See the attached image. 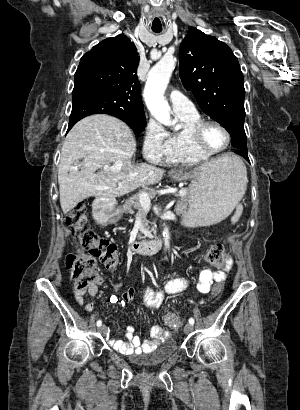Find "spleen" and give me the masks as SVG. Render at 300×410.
Returning <instances> with one entry per match:
<instances>
[{
    "instance_id": "spleen-1",
    "label": "spleen",
    "mask_w": 300,
    "mask_h": 410,
    "mask_svg": "<svg viewBox=\"0 0 300 410\" xmlns=\"http://www.w3.org/2000/svg\"><path fill=\"white\" fill-rule=\"evenodd\" d=\"M233 164H234V167H236V169H237V170L242 174V176H243V186H244V190H245V189H246V184H247V182H248V181H247L246 167H245L244 163H243L239 158H237V157L233 158ZM242 212H243V206H242L241 204H238V205L236 206V211H235L234 215H233L232 218H231V222H232L233 224L236 223V222L239 220V218H240Z\"/></svg>"
}]
</instances>
